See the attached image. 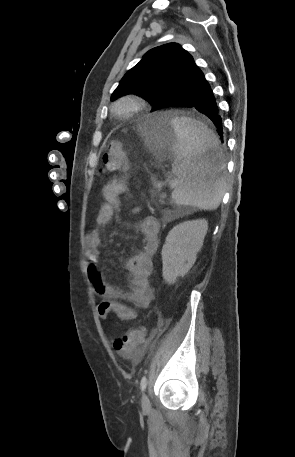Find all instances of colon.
<instances>
[{"mask_svg":"<svg viewBox=\"0 0 295 457\" xmlns=\"http://www.w3.org/2000/svg\"><path fill=\"white\" fill-rule=\"evenodd\" d=\"M130 166V157L123 149L121 143L113 140L108 144L107 151L103 158V170L107 172L127 173ZM145 332L138 327L127 331L122 337L117 338L113 346L123 355L133 354L144 342Z\"/></svg>","mask_w":295,"mask_h":457,"instance_id":"colon-1","label":"colon"}]
</instances>
